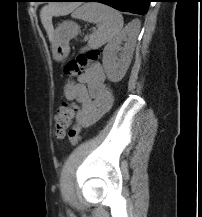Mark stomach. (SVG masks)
Here are the masks:
<instances>
[{"label": "stomach", "instance_id": "stomach-1", "mask_svg": "<svg viewBox=\"0 0 202 217\" xmlns=\"http://www.w3.org/2000/svg\"><path fill=\"white\" fill-rule=\"evenodd\" d=\"M79 32V27L73 22H64L53 35L52 52L57 61L64 60L70 51L69 41Z\"/></svg>", "mask_w": 202, "mask_h": 217}]
</instances>
